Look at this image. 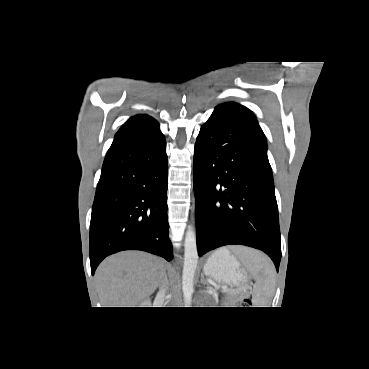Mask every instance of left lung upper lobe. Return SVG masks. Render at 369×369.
<instances>
[{"mask_svg": "<svg viewBox=\"0 0 369 369\" xmlns=\"http://www.w3.org/2000/svg\"><path fill=\"white\" fill-rule=\"evenodd\" d=\"M219 108H226L232 111L237 112L238 114L242 115L243 117H245L247 120H249L250 122L254 123L255 125L258 126V128L261 130L255 116L253 115V113L246 108L245 106H242L238 103H234V102H229V103H224L221 104L219 106H217L215 109H219ZM262 131V130H261Z\"/></svg>", "mask_w": 369, "mask_h": 369, "instance_id": "5c2ea615", "label": "left lung upper lobe"}]
</instances>
